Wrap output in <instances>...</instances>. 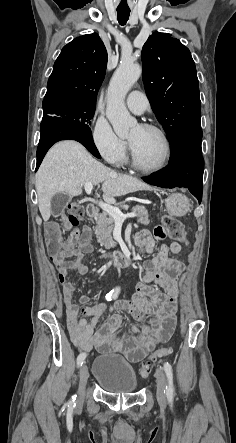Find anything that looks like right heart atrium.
<instances>
[{
	"mask_svg": "<svg viewBox=\"0 0 236 443\" xmlns=\"http://www.w3.org/2000/svg\"><path fill=\"white\" fill-rule=\"evenodd\" d=\"M90 137L101 157L113 166H121L127 159L128 144L112 129L101 115H95L90 125Z\"/></svg>",
	"mask_w": 236,
	"mask_h": 443,
	"instance_id": "obj_1",
	"label": "right heart atrium"
}]
</instances>
